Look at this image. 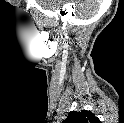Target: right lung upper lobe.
<instances>
[{
	"mask_svg": "<svg viewBox=\"0 0 124 123\" xmlns=\"http://www.w3.org/2000/svg\"><path fill=\"white\" fill-rule=\"evenodd\" d=\"M98 122H99L98 118H96L93 113L87 110H82L80 112L72 111L63 121V123H98Z\"/></svg>",
	"mask_w": 124,
	"mask_h": 123,
	"instance_id": "cb5924a9",
	"label": "right lung upper lobe"
}]
</instances>
